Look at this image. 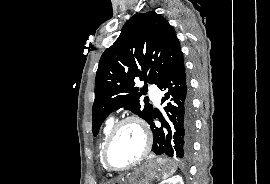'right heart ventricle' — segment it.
Returning a JSON list of instances; mask_svg holds the SVG:
<instances>
[{
    "instance_id": "1",
    "label": "right heart ventricle",
    "mask_w": 270,
    "mask_h": 184,
    "mask_svg": "<svg viewBox=\"0 0 270 184\" xmlns=\"http://www.w3.org/2000/svg\"><path fill=\"white\" fill-rule=\"evenodd\" d=\"M114 124H115L114 118L110 117L105 121V124L103 126L102 139H101V143H100V159H101V162H102V150H103L104 144H105L106 139H107L112 127L114 126Z\"/></svg>"
}]
</instances>
